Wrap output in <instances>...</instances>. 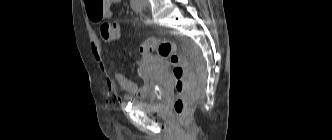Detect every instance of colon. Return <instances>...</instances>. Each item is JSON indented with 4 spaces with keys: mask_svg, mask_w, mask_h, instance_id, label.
I'll list each match as a JSON object with an SVG mask.
<instances>
[{
    "mask_svg": "<svg viewBox=\"0 0 332 140\" xmlns=\"http://www.w3.org/2000/svg\"><path fill=\"white\" fill-rule=\"evenodd\" d=\"M87 13L93 21H100L103 18L106 0H84ZM123 31L120 23L104 22L100 26V33L108 38L117 40ZM156 51L162 58L169 60L171 74L174 81V88L177 96L174 101V111L180 121H184L194 105V98L191 95L192 74L190 65L185 55L178 51L174 43L167 39L149 38L140 47L141 54H148Z\"/></svg>",
    "mask_w": 332,
    "mask_h": 140,
    "instance_id": "1",
    "label": "colon"
}]
</instances>
